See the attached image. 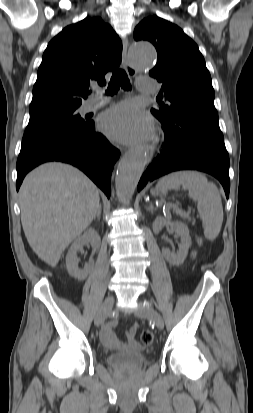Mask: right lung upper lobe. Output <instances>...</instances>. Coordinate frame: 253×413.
Segmentation results:
<instances>
[{
  "label": "right lung upper lobe",
  "mask_w": 253,
  "mask_h": 413,
  "mask_svg": "<svg viewBox=\"0 0 253 413\" xmlns=\"http://www.w3.org/2000/svg\"><path fill=\"white\" fill-rule=\"evenodd\" d=\"M121 54V40L101 18L67 26L43 54L29 112L80 106L90 81L106 84L104 76L119 66Z\"/></svg>",
  "instance_id": "1"
}]
</instances>
